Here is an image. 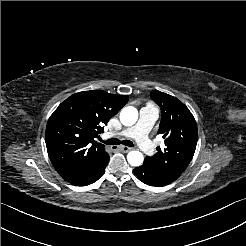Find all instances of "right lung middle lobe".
I'll list each match as a JSON object with an SVG mask.
<instances>
[{"instance_id": "1", "label": "right lung middle lobe", "mask_w": 246, "mask_h": 246, "mask_svg": "<svg viewBox=\"0 0 246 246\" xmlns=\"http://www.w3.org/2000/svg\"><path fill=\"white\" fill-rule=\"evenodd\" d=\"M78 165H90V164H85V163H75V164H72L70 166H78Z\"/></svg>"}]
</instances>
